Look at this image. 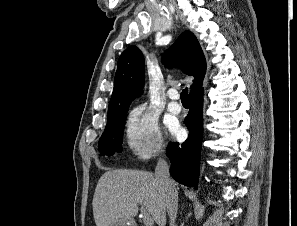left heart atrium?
Wrapping results in <instances>:
<instances>
[{"mask_svg": "<svg viewBox=\"0 0 297 226\" xmlns=\"http://www.w3.org/2000/svg\"><path fill=\"white\" fill-rule=\"evenodd\" d=\"M171 128H172L173 132H174L176 135H178V136L181 135L182 131H181V129L178 127V125L173 124V125L171 126Z\"/></svg>", "mask_w": 297, "mask_h": 226, "instance_id": "obj_1", "label": "left heart atrium"}]
</instances>
